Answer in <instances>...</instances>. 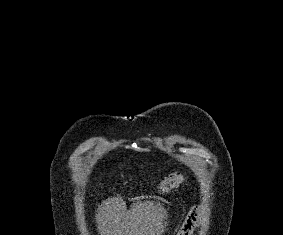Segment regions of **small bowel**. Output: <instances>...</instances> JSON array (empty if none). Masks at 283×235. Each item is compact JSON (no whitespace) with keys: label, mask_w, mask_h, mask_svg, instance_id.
<instances>
[{"label":"small bowel","mask_w":283,"mask_h":235,"mask_svg":"<svg viewBox=\"0 0 283 235\" xmlns=\"http://www.w3.org/2000/svg\"><path fill=\"white\" fill-rule=\"evenodd\" d=\"M199 217H200V208H194L189 214L185 227L191 228L199 220Z\"/></svg>","instance_id":"obj_1"}]
</instances>
